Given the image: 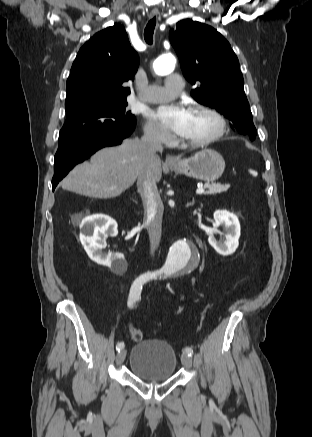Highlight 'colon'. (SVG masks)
Instances as JSON below:
<instances>
[{
	"label": "colon",
	"instance_id": "5ec220e1",
	"mask_svg": "<svg viewBox=\"0 0 312 437\" xmlns=\"http://www.w3.org/2000/svg\"><path fill=\"white\" fill-rule=\"evenodd\" d=\"M130 335L134 341H140L143 338L142 331L134 327L130 328Z\"/></svg>",
	"mask_w": 312,
	"mask_h": 437
}]
</instances>
